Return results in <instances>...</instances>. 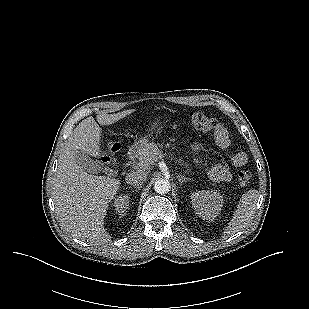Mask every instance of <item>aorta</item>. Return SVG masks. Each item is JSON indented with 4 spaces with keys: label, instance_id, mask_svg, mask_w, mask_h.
Masks as SVG:
<instances>
[{
    "label": "aorta",
    "instance_id": "aorta-1",
    "mask_svg": "<svg viewBox=\"0 0 309 309\" xmlns=\"http://www.w3.org/2000/svg\"><path fill=\"white\" fill-rule=\"evenodd\" d=\"M170 188H171L170 182L166 179H159L154 184V190L158 194L168 193L170 191Z\"/></svg>",
    "mask_w": 309,
    "mask_h": 309
}]
</instances>
